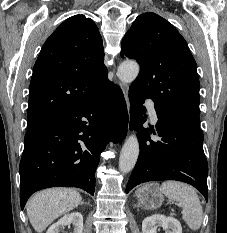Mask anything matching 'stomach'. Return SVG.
<instances>
[{"label": "stomach", "mask_w": 227, "mask_h": 233, "mask_svg": "<svg viewBox=\"0 0 227 233\" xmlns=\"http://www.w3.org/2000/svg\"><path fill=\"white\" fill-rule=\"evenodd\" d=\"M135 195L139 200V205L144 209H157L164 201L162 193L156 184H149L139 188Z\"/></svg>", "instance_id": "1"}]
</instances>
